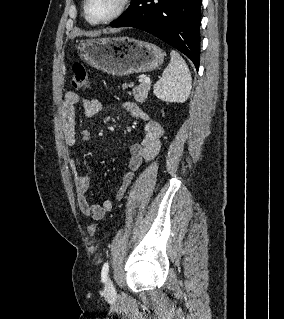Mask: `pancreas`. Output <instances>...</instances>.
Returning <instances> with one entry per match:
<instances>
[{"label":"pancreas","instance_id":"pancreas-1","mask_svg":"<svg viewBox=\"0 0 284 319\" xmlns=\"http://www.w3.org/2000/svg\"><path fill=\"white\" fill-rule=\"evenodd\" d=\"M128 85L124 84L123 88H126ZM133 87V83L129 85ZM150 83H145L144 81L140 82V85L133 88V96L135 100L139 103H143L144 100L147 98L148 91L150 90Z\"/></svg>","mask_w":284,"mask_h":319}]
</instances>
